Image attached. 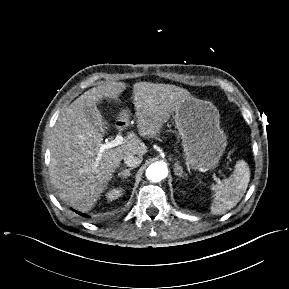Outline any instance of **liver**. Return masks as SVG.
Instances as JSON below:
<instances>
[{"mask_svg": "<svg viewBox=\"0 0 289 289\" xmlns=\"http://www.w3.org/2000/svg\"><path fill=\"white\" fill-rule=\"evenodd\" d=\"M126 87L123 82H106L89 89L61 112L53 127L51 183L61 200L80 211L92 209L128 152L147 153V146L134 133L128 134L122 145L100 152L107 122L96 104L103 98L118 100ZM190 97L188 90L175 85L135 83L133 103L139 134L147 138L157 136ZM89 110L96 115L94 122L90 121Z\"/></svg>", "mask_w": 289, "mask_h": 289, "instance_id": "6515ba94", "label": "liver"}]
</instances>
